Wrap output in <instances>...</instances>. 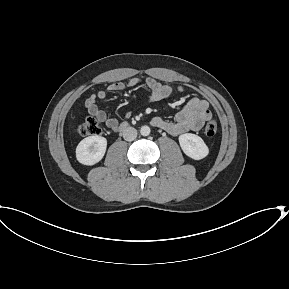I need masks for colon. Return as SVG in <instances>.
Here are the masks:
<instances>
[{"instance_id": "5ec220e1", "label": "colon", "mask_w": 289, "mask_h": 289, "mask_svg": "<svg viewBox=\"0 0 289 289\" xmlns=\"http://www.w3.org/2000/svg\"><path fill=\"white\" fill-rule=\"evenodd\" d=\"M217 122L213 119L208 120L205 125V135L213 137L217 132ZM77 131L81 136H96L101 134V127L95 117H89L84 122L78 125Z\"/></svg>"}]
</instances>
